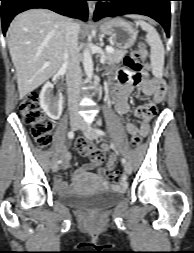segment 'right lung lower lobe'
<instances>
[{
	"label": "right lung lower lobe",
	"mask_w": 194,
	"mask_h": 253,
	"mask_svg": "<svg viewBox=\"0 0 194 253\" xmlns=\"http://www.w3.org/2000/svg\"><path fill=\"white\" fill-rule=\"evenodd\" d=\"M2 1V28L3 34L9 23L15 15L25 10L32 8H46L59 14L78 18L83 21L87 20L88 7L86 1L88 0H0Z\"/></svg>",
	"instance_id": "right-lung-lower-lobe-1"
}]
</instances>
